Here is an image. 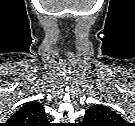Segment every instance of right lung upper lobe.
I'll use <instances>...</instances> for the list:
<instances>
[{"instance_id":"1","label":"right lung upper lobe","mask_w":135,"mask_h":126,"mask_svg":"<svg viewBox=\"0 0 135 126\" xmlns=\"http://www.w3.org/2000/svg\"><path fill=\"white\" fill-rule=\"evenodd\" d=\"M40 103L29 102L16 111L7 121V126H46L49 123Z\"/></svg>"}]
</instances>
